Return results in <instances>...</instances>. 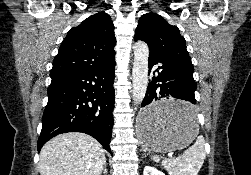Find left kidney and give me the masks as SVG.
<instances>
[{
	"label": "left kidney",
	"mask_w": 251,
	"mask_h": 175,
	"mask_svg": "<svg viewBox=\"0 0 251 175\" xmlns=\"http://www.w3.org/2000/svg\"><path fill=\"white\" fill-rule=\"evenodd\" d=\"M143 175H165V173L159 171V169H155V167H151V165H145Z\"/></svg>",
	"instance_id": "left-kidney-1"
}]
</instances>
